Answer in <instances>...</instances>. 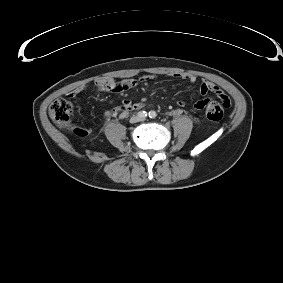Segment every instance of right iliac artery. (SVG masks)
<instances>
[{
    "instance_id": "82829eb1",
    "label": "right iliac artery",
    "mask_w": 283,
    "mask_h": 283,
    "mask_svg": "<svg viewBox=\"0 0 283 283\" xmlns=\"http://www.w3.org/2000/svg\"><path fill=\"white\" fill-rule=\"evenodd\" d=\"M138 117H140V118H145L146 116H147V112L146 111H140V112H138Z\"/></svg>"
}]
</instances>
